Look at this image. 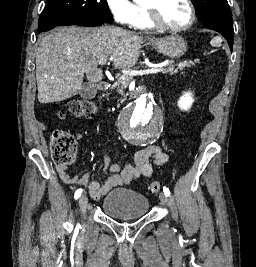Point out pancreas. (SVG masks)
<instances>
[{"instance_id": "1", "label": "pancreas", "mask_w": 256, "mask_h": 267, "mask_svg": "<svg viewBox=\"0 0 256 267\" xmlns=\"http://www.w3.org/2000/svg\"><path fill=\"white\" fill-rule=\"evenodd\" d=\"M190 66H194V62H191V60L187 62L186 60V62H180L176 70H174L173 66H171V68H167V70H163L162 74H168V72H170L171 76H173V74H175L177 70H183V68H190ZM131 80H133V76H128V74H124V80H118V82H115V84H113L112 88H116L119 94H122V96H126V94H123V90H126Z\"/></svg>"}]
</instances>
